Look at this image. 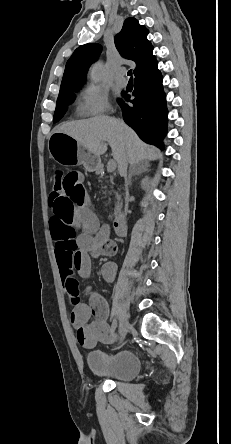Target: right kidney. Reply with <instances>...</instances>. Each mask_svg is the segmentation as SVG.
I'll list each match as a JSON object with an SVG mask.
<instances>
[{
    "instance_id": "right-kidney-1",
    "label": "right kidney",
    "mask_w": 231,
    "mask_h": 444,
    "mask_svg": "<svg viewBox=\"0 0 231 444\" xmlns=\"http://www.w3.org/2000/svg\"><path fill=\"white\" fill-rule=\"evenodd\" d=\"M148 178L143 179L142 181V187L144 188L145 183L147 182Z\"/></svg>"
}]
</instances>
